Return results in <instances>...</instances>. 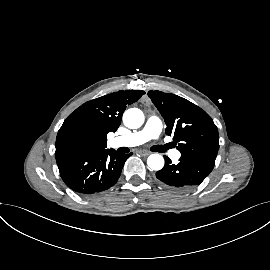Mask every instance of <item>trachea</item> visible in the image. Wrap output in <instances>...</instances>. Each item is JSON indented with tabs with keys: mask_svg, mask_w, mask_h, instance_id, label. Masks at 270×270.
<instances>
[{
	"mask_svg": "<svg viewBox=\"0 0 270 270\" xmlns=\"http://www.w3.org/2000/svg\"><path fill=\"white\" fill-rule=\"evenodd\" d=\"M157 152H164L166 150V146H155Z\"/></svg>",
	"mask_w": 270,
	"mask_h": 270,
	"instance_id": "trachea-1",
	"label": "trachea"
}]
</instances>
